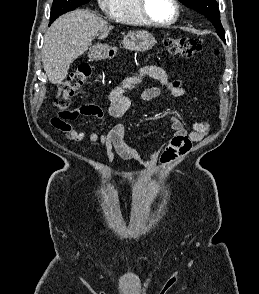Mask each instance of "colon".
I'll return each instance as SVG.
<instances>
[{
	"label": "colon",
	"mask_w": 259,
	"mask_h": 294,
	"mask_svg": "<svg viewBox=\"0 0 259 294\" xmlns=\"http://www.w3.org/2000/svg\"><path fill=\"white\" fill-rule=\"evenodd\" d=\"M164 44L172 55L190 58L202 50V44L192 38H167ZM214 54H218L214 51ZM91 76V68L88 65L79 66L60 85L55 98V105L59 113L64 117H72L76 109L72 106V96Z\"/></svg>",
	"instance_id": "5ec220e1"
}]
</instances>
